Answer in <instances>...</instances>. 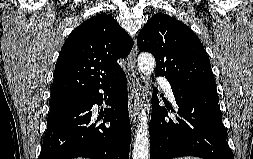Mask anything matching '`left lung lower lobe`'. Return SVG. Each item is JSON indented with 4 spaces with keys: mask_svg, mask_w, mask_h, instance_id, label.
<instances>
[{
    "mask_svg": "<svg viewBox=\"0 0 253 159\" xmlns=\"http://www.w3.org/2000/svg\"><path fill=\"white\" fill-rule=\"evenodd\" d=\"M176 119L167 117L154 89L150 121V159L197 156L205 159H234L229 148L216 91L171 85Z\"/></svg>",
    "mask_w": 253,
    "mask_h": 159,
    "instance_id": "1",
    "label": "left lung lower lobe"
}]
</instances>
